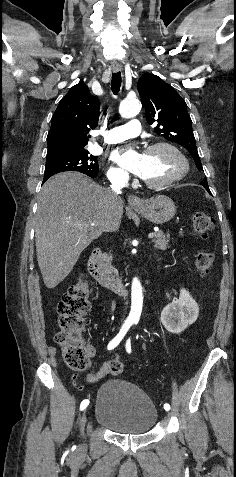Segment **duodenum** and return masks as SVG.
<instances>
[{"instance_id":"1","label":"duodenum","mask_w":236,"mask_h":477,"mask_svg":"<svg viewBox=\"0 0 236 477\" xmlns=\"http://www.w3.org/2000/svg\"><path fill=\"white\" fill-rule=\"evenodd\" d=\"M88 271L96 283L120 295H126L128 290L120 277L108 275L102 267L101 251L95 248L91 251L88 262Z\"/></svg>"}]
</instances>
